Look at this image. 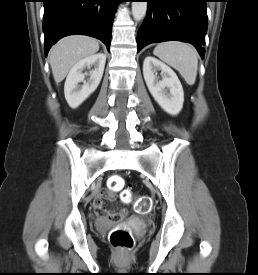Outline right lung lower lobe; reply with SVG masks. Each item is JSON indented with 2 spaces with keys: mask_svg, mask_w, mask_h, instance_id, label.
<instances>
[{
  "mask_svg": "<svg viewBox=\"0 0 258 275\" xmlns=\"http://www.w3.org/2000/svg\"><path fill=\"white\" fill-rule=\"evenodd\" d=\"M122 0H43L45 55L60 38L84 34L102 40L110 49L112 21Z\"/></svg>",
  "mask_w": 258,
  "mask_h": 275,
  "instance_id": "right-lung-lower-lobe-1",
  "label": "right lung lower lobe"
}]
</instances>
